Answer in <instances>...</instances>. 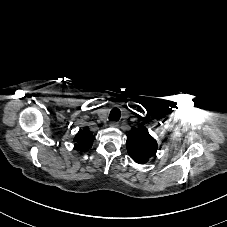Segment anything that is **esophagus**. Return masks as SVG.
Wrapping results in <instances>:
<instances>
[{"label": "esophagus", "instance_id": "esophagus-1", "mask_svg": "<svg viewBox=\"0 0 227 227\" xmlns=\"http://www.w3.org/2000/svg\"><path fill=\"white\" fill-rule=\"evenodd\" d=\"M109 125H110V127H111V128H113V129H114V128H116V127H117V125H118V124H117V122H116V121H114V120H113V121H111V122H110V124H109Z\"/></svg>", "mask_w": 227, "mask_h": 227}]
</instances>
